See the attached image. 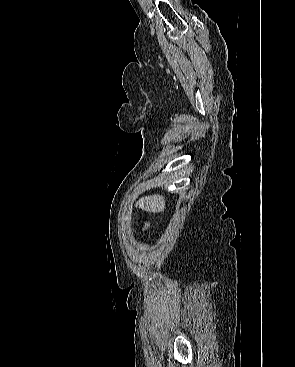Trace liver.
Returning <instances> with one entry per match:
<instances>
[{
    "instance_id": "obj_1",
    "label": "liver",
    "mask_w": 295,
    "mask_h": 367,
    "mask_svg": "<svg viewBox=\"0 0 295 367\" xmlns=\"http://www.w3.org/2000/svg\"><path fill=\"white\" fill-rule=\"evenodd\" d=\"M136 206L147 212H162L165 209V198L163 195H151L140 198Z\"/></svg>"
}]
</instances>
